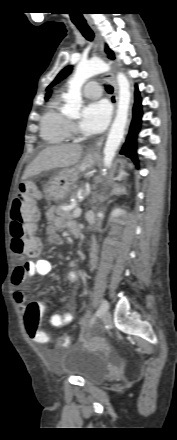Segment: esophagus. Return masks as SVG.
Listing matches in <instances>:
<instances>
[{
    "mask_svg": "<svg viewBox=\"0 0 177 440\" xmlns=\"http://www.w3.org/2000/svg\"><path fill=\"white\" fill-rule=\"evenodd\" d=\"M89 27L92 29V31L94 32L97 40L99 41V50L101 53H103V42H102V38L100 36V33L96 27V25L93 22H88ZM107 79L111 82L113 88H114V93L111 97V103L114 106V109L116 108L117 102H118V86L115 80V76L113 73L109 72L106 74ZM103 138L100 139L99 141L96 142V144L94 145V147L92 148V150L89 152V156H94L96 155V153L98 152V150L100 149L102 143H103Z\"/></svg>",
    "mask_w": 177,
    "mask_h": 440,
    "instance_id": "esophagus-1",
    "label": "esophagus"
}]
</instances>
